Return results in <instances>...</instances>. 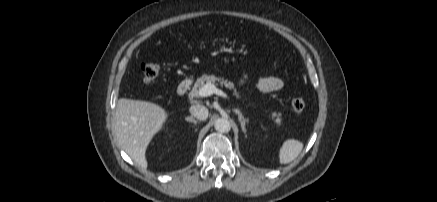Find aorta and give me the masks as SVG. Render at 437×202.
Returning a JSON list of instances; mask_svg holds the SVG:
<instances>
[{
    "label": "aorta",
    "instance_id": "762f6f07",
    "mask_svg": "<svg viewBox=\"0 0 437 202\" xmlns=\"http://www.w3.org/2000/svg\"><path fill=\"white\" fill-rule=\"evenodd\" d=\"M214 127L220 133H227L231 129V124L226 118H218L214 123Z\"/></svg>",
    "mask_w": 437,
    "mask_h": 202
}]
</instances>
